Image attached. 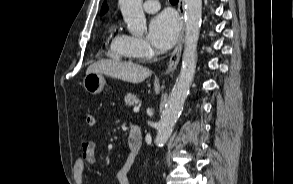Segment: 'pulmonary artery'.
Returning <instances> with one entry per match:
<instances>
[{
	"mask_svg": "<svg viewBox=\"0 0 293 184\" xmlns=\"http://www.w3.org/2000/svg\"><path fill=\"white\" fill-rule=\"evenodd\" d=\"M143 8L147 13H155L160 9V3L157 0H146Z\"/></svg>",
	"mask_w": 293,
	"mask_h": 184,
	"instance_id": "1",
	"label": "pulmonary artery"
}]
</instances>
